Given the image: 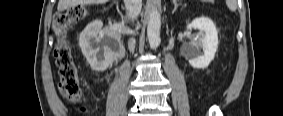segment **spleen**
Instances as JSON below:
<instances>
[{"label": "spleen", "instance_id": "1", "mask_svg": "<svg viewBox=\"0 0 283 116\" xmlns=\"http://www.w3.org/2000/svg\"><path fill=\"white\" fill-rule=\"evenodd\" d=\"M226 5L231 11H235L237 9L236 0H226Z\"/></svg>", "mask_w": 283, "mask_h": 116}]
</instances>
